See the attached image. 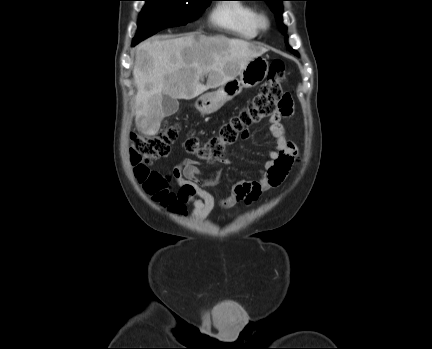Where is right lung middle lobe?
<instances>
[{"label":"right lung middle lobe","mask_w":432,"mask_h":349,"mask_svg":"<svg viewBox=\"0 0 432 349\" xmlns=\"http://www.w3.org/2000/svg\"><path fill=\"white\" fill-rule=\"evenodd\" d=\"M133 46L167 27L185 25L196 19L210 0H144Z\"/></svg>","instance_id":"1"}]
</instances>
